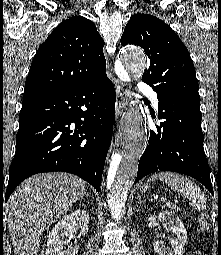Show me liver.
I'll return each mask as SVG.
<instances>
[{
    "label": "liver",
    "instance_id": "obj_1",
    "mask_svg": "<svg viewBox=\"0 0 221 255\" xmlns=\"http://www.w3.org/2000/svg\"><path fill=\"white\" fill-rule=\"evenodd\" d=\"M85 182L63 172L36 174L5 205L15 255H37L40 238L85 192Z\"/></svg>",
    "mask_w": 221,
    "mask_h": 255
}]
</instances>
